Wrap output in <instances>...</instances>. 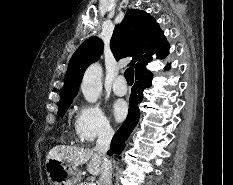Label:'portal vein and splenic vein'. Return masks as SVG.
<instances>
[{
	"label": "portal vein and splenic vein",
	"instance_id": "1",
	"mask_svg": "<svg viewBox=\"0 0 233 185\" xmlns=\"http://www.w3.org/2000/svg\"><path fill=\"white\" fill-rule=\"evenodd\" d=\"M88 185H96L95 183L91 182V183H88Z\"/></svg>",
	"mask_w": 233,
	"mask_h": 185
}]
</instances>
